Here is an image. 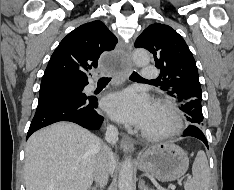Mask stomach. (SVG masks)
<instances>
[{
    "instance_id": "stomach-1",
    "label": "stomach",
    "mask_w": 234,
    "mask_h": 190,
    "mask_svg": "<svg viewBox=\"0 0 234 190\" xmlns=\"http://www.w3.org/2000/svg\"><path fill=\"white\" fill-rule=\"evenodd\" d=\"M187 153L174 143H159L147 148L138 158V168L160 181H173L188 170Z\"/></svg>"
}]
</instances>
